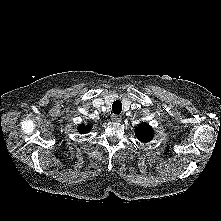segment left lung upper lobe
<instances>
[{"label":"left lung upper lobe","instance_id":"5c2ea615","mask_svg":"<svg viewBox=\"0 0 221 221\" xmlns=\"http://www.w3.org/2000/svg\"><path fill=\"white\" fill-rule=\"evenodd\" d=\"M154 131L148 124L140 125L136 128V137L141 142H149L153 138Z\"/></svg>","mask_w":221,"mask_h":221}]
</instances>
